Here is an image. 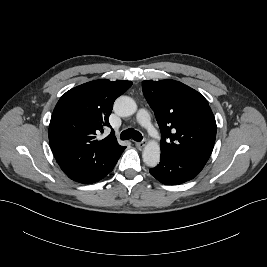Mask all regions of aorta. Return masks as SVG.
<instances>
[{"label":"aorta","mask_w":267,"mask_h":267,"mask_svg":"<svg viewBox=\"0 0 267 267\" xmlns=\"http://www.w3.org/2000/svg\"><path fill=\"white\" fill-rule=\"evenodd\" d=\"M136 110V102L128 96H120L114 103V112L121 117L131 116ZM160 154V145L156 141H150L143 149V161L149 167H156L160 161Z\"/></svg>","instance_id":"1"}]
</instances>
